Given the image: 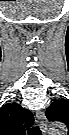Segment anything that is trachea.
I'll return each instance as SVG.
<instances>
[{
	"label": "trachea",
	"instance_id": "3493384b",
	"mask_svg": "<svg viewBox=\"0 0 69 135\" xmlns=\"http://www.w3.org/2000/svg\"><path fill=\"white\" fill-rule=\"evenodd\" d=\"M28 134L29 135H40L41 134L40 128L38 126L29 128Z\"/></svg>",
	"mask_w": 69,
	"mask_h": 135
}]
</instances>
